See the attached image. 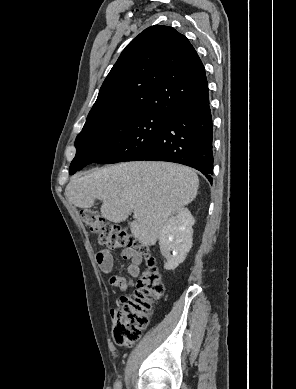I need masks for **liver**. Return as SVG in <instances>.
<instances>
[{
	"label": "liver",
	"instance_id": "6515ba94",
	"mask_svg": "<svg viewBox=\"0 0 296 389\" xmlns=\"http://www.w3.org/2000/svg\"><path fill=\"white\" fill-rule=\"evenodd\" d=\"M198 187V176L189 167L129 162L73 177L65 195L79 208H91L96 199L101 200L102 217L114 223L125 221L136 211L131 233L141 244L151 246L168 218L196 198Z\"/></svg>",
	"mask_w": 296,
	"mask_h": 389
}]
</instances>
